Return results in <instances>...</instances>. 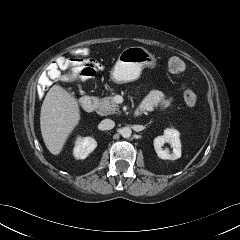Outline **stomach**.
Returning <instances> with one entry per match:
<instances>
[{"mask_svg":"<svg viewBox=\"0 0 240 240\" xmlns=\"http://www.w3.org/2000/svg\"><path fill=\"white\" fill-rule=\"evenodd\" d=\"M157 60L143 47L131 46L124 49L111 71V79L118 84L134 81L144 68L154 69Z\"/></svg>","mask_w":240,"mask_h":240,"instance_id":"1","label":"stomach"}]
</instances>
